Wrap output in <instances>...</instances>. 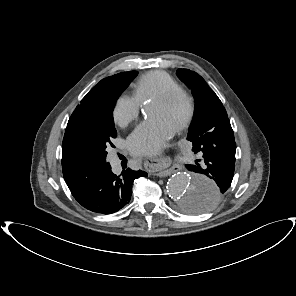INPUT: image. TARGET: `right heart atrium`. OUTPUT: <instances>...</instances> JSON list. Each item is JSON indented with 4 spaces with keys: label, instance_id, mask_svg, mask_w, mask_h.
<instances>
[{
    "label": "right heart atrium",
    "instance_id": "d8ad5b80",
    "mask_svg": "<svg viewBox=\"0 0 296 296\" xmlns=\"http://www.w3.org/2000/svg\"><path fill=\"white\" fill-rule=\"evenodd\" d=\"M140 112L139 102L130 95H121L113 107V120L120 127H127L135 121Z\"/></svg>",
    "mask_w": 296,
    "mask_h": 296
}]
</instances>
